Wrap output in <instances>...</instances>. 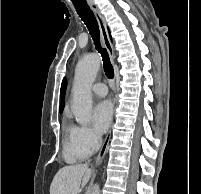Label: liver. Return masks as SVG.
Returning a JSON list of instances; mask_svg holds the SVG:
<instances>
[{
    "label": "liver",
    "instance_id": "obj_1",
    "mask_svg": "<svg viewBox=\"0 0 201 194\" xmlns=\"http://www.w3.org/2000/svg\"><path fill=\"white\" fill-rule=\"evenodd\" d=\"M91 175L92 170L86 164L62 167L52 180L50 194H78Z\"/></svg>",
    "mask_w": 201,
    "mask_h": 194
}]
</instances>
